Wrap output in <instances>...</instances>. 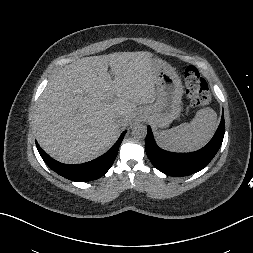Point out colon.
<instances>
[{"label":"colon","instance_id":"5ec220e1","mask_svg":"<svg viewBox=\"0 0 253 253\" xmlns=\"http://www.w3.org/2000/svg\"><path fill=\"white\" fill-rule=\"evenodd\" d=\"M184 84L192 106H206L211 101L209 87L195 66H188L184 73Z\"/></svg>","mask_w":253,"mask_h":253}]
</instances>
